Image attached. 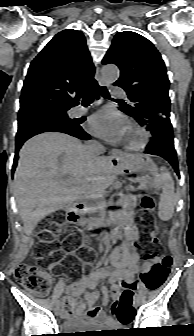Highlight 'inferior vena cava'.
Listing matches in <instances>:
<instances>
[{
    "label": "inferior vena cava",
    "instance_id": "obj_1",
    "mask_svg": "<svg viewBox=\"0 0 194 336\" xmlns=\"http://www.w3.org/2000/svg\"><path fill=\"white\" fill-rule=\"evenodd\" d=\"M86 150L89 156H91V161L97 162L99 155L105 152V147L99 142L92 141L86 144Z\"/></svg>",
    "mask_w": 194,
    "mask_h": 336
}]
</instances>
